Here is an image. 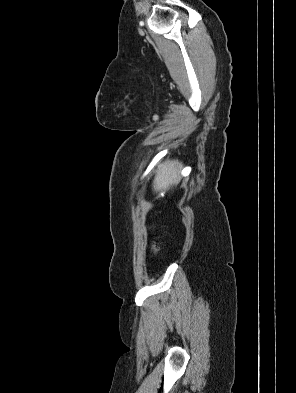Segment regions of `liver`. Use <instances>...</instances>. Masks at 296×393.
Returning a JSON list of instances; mask_svg holds the SVG:
<instances>
[{
    "instance_id": "1",
    "label": "liver",
    "mask_w": 296,
    "mask_h": 393,
    "mask_svg": "<svg viewBox=\"0 0 296 393\" xmlns=\"http://www.w3.org/2000/svg\"><path fill=\"white\" fill-rule=\"evenodd\" d=\"M182 164L178 161H167L157 171L154 180V189L160 191L179 182L178 174Z\"/></svg>"
}]
</instances>
